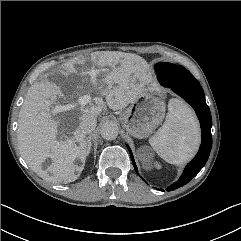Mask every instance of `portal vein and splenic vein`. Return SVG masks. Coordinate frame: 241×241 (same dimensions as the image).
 Masks as SVG:
<instances>
[{"label":"portal vein and splenic vein","mask_w":241,"mask_h":241,"mask_svg":"<svg viewBox=\"0 0 241 241\" xmlns=\"http://www.w3.org/2000/svg\"><path fill=\"white\" fill-rule=\"evenodd\" d=\"M89 100H90L89 96H84L79 99V102H80V104L85 105ZM62 110H63V108H62Z\"/></svg>","instance_id":"18ae733b"}]
</instances>
